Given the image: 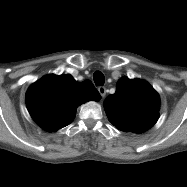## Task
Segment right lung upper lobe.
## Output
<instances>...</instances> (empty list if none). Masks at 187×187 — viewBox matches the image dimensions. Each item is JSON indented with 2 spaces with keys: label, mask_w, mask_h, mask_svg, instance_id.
I'll return each instance as SVG.
<instances>
[{
  "label": "right lung upper lobe",
  "mask_w": 187,
  "mask_h": 187,
  "mask_svg": "<svg viewBox=\"0 0 187 187\" xmlns=\"http://www.w3.org/2000/svg\"><path fill=\"white\" fill-rule=\"evenodd\" d=\"M101 96L93 84L76 82L71 75H47L33 83L26 92V105L39 126L51 132L70 124L76 108Z\"/></svg>",
  "instance_id": "obj_1"
}]
</instances>
